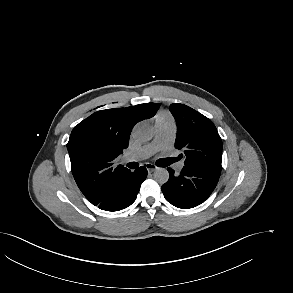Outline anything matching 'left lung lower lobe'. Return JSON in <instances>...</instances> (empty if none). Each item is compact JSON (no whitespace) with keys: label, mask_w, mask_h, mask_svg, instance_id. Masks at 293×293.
<instances>
[{"label":"left lung lower lobe","mask_w":293,"mask_h":293,"mask_svg":"<svg viewBox=\"0 0 293 293\" xmlns=\"http://www.w3.org/2000/svg\"><path fill=\"white\" fill-rule=\"evenodd\" d=\"M169 180L162 186L165 199L172 205L188 209L203 203L215 189L219 175L208 170L184 166L180 174L171 168Z\"/></svg>","instance_id":"0a47b994"}]
</instances>
